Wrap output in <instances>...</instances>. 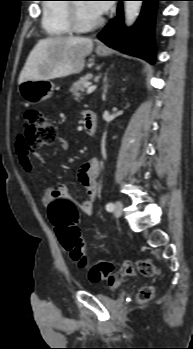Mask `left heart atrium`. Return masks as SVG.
I'll return each mask as SVG.
<instances>
[{
  "label": "left heart atrium",
  "instance_id": "1",
  "mask_svg": "<svg viewBox=\"0 0 193 349\" xmlns=\"http://www.w3.org/2000/svg\"><path fill=\"white\" fill-rule=\"evenodd\" d=\"M88 5L94 14L100 16L106 13L112 4L110 1H91Z\"/></svg>",
  "mask_w": 193,
  "mask_h": 349
}]
</instances>
